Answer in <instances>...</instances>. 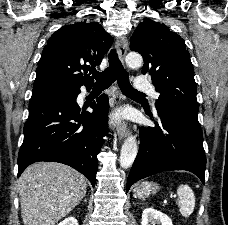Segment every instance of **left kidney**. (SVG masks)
<instances>
[{
	"label": "left kidney",
	"mask_w": 228,
	"mask_h": 225,
	"mask_svg": "<svg viewBox=\"0 0 228 225\" xmlns=\"http://www.w3.org/2000/svg\"><path fill=\"white\" fill-rule=\"evenodd\" d=\"M141 225H172V221L164 213L156 211L153 207H147L142 213Z\"/></svg>",
	"instance_id": "left-kidney-1"
}]
</instances>
